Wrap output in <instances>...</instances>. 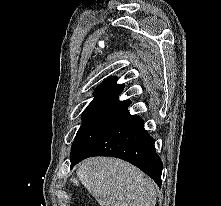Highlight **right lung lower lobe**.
<instances>
[{"mask_svg": "<svg viewBox=\"0 0 221 206\" xmlns=\"http://www.w3.org/2000/svg\"><path fill=\"white\" fill-rule=\"evenodd\" d=\"M92 156H111L128 161L161 186L162 162L155 151L154 140L144 130L143 120L128 111L72 160L71 168Z\"/></svg>", "mask_w": 221, "mask_h": 206, "instance_id": "1", "label": "right lung lower lobe"}]
</instances>
